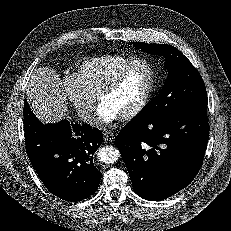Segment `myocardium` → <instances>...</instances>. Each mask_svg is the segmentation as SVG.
Instances as JSON below:
<instances>
[{"label": "myocardium", "instance_id": "f54148a6", "mask_svg": "<svg viewBox=\"0 0 231 231\" xmlns=\"http://www.w3.org/2000/svg\"><path fill=\"white\" fill-rule=\"evenodd\" d=\"M138 65H145L148 67L150 71V83L148 86L147 91L145 92L142 99L127 113L120 116L121 120H131L134 117H136L138 114H140L144 108L149 103L150 99L152 98L158 82V75L157 71L154 67V65L146 60V59H135L122 69H120L117 73H115L112 77H110L100 88V90L97 93V98L101 102L102 98L109 93L113 92L115 88L120 84L124 76L134 67Z\"/></svg>", "mask_w": 231, "mask_h": 231}]
</instances>
